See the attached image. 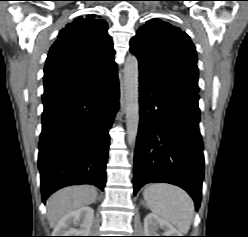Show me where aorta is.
Listing matches in <instances>:
<instances>
[{
    "label": "aorta",
    "instance_id": "aorta-1",
    "mask_svg": "<svg viewBox=\"0 0 248 237\" xmlns=\"http://www.w3.org/2000/svg\"><path fill=\"white\" fill-rule=\"evenodd\" d=\"M139 68L135 56L129 55L124 64V94L127 141L132 145L139 127Z\"/></svg>",
    "mask_w": 248,
    "mask_h": 237
}]
</instances>
